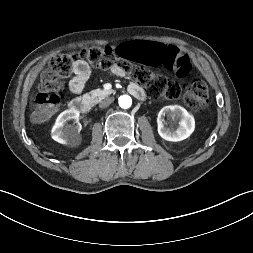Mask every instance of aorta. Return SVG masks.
Segmentation results:
<instances>
[{
  "mask_svg": "<svg viewBox=\"0 0 253 253\" xmlns=\"http://www.w3.org/2000/svg\"><path fill=\"white\" fill-rule=\"evenodd\" d=\"M132 105V99L128 95H122L119 97V106L123 109L130 108Z\"/></svg>",
  "mask_w": 253,
  "mask_h": 253,
  "instance_id": "762f6f07",
  "label": "aorta"
}]
</instances>
